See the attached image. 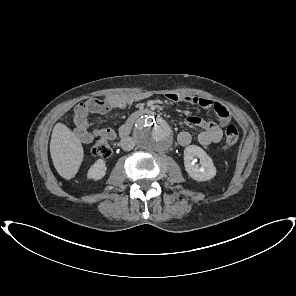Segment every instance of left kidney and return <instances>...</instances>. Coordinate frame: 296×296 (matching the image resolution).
I'll use <instances>...</instances> for the list:
<instances>
[{
  "label": "left kidney",
  "instance_id": "obj_1",
  "mask_svg": "<svg viewBox=\"0 0 296 296\" xmlns=\"http://www.w3.org/2000/svg\"><path fill=\"white\" fill-rule=\"evenodd\" d=\"M197 158L199 163H196ZM184 166L188 175L196 181H207L216 175L211 157L196 145H190L184 149Z\"/></svg>",
  "mask_w": 296,
  "mask_h": 296
}]
</instances>
